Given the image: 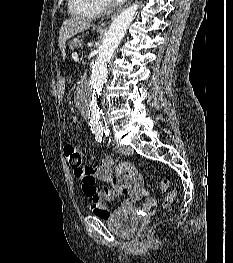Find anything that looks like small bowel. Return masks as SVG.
Listing matches in <instances>:
<instances>
[{
  "mask_svg": "<svg viewBox=\"0 0 233 263\" xmlns=\"http://www.w3.org/2000/svg\"><path fill=\"white\" fill-rule=\"evenodd\" d=\"M86 167L90 170L88 174L76 176L82 181L83 193L92 202L94 214L101 219L110 217L106 203L118 196H126L119 208H133L135 202L147 194L143 177L130 162L120 163L115 167L114 157L107 156L98 165ZM97 181L108 186L100 189ZM155 206L153 198H148L144 203L145 210H151Z\"/></svg>",
  "mask_w": 233,
  "mask_h": 263,
  "instance_id": "obj_1",
  "label": "small bowel"
}]
</instances>
